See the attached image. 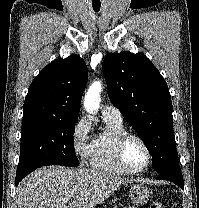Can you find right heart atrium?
<instances>
[{"label":"right heart atrium","mask_w":199,"mask_h":208,"mask_svg":"<svg viewBox=\"0 0 199 208\" xmlns=\"http://www.w3.org/2000/svg\"><path fill=\"white\" fill-rule=\"evenodd\" d=\"M91 126L89 121L82 117L76 121L72 130L73 151L82 163L88 161L92 142L90 141Z\"/></svg>","instance_id":"1"}]
</instances>
